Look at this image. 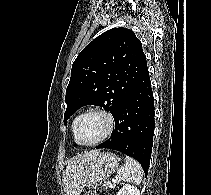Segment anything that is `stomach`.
Returning <instances> with one entry per match:
<instances>
[{
	"label": "stomach",
	"mask_w": 211,
	"mask_h": 195,
	"mask_svg": "<svg viewBox=\"0 0 211 195\" xmlns=\"http://www.w3.org/2000/svg\"><path fill=\"white\" fill-rule=\"evenodd\" d=\"M119 168V158L112 152H102L91 162L85 185H96L114 174ZM89 195V194H85Z\"/></svg>",
	"instance_id": "stomach-1"
}]
</instances>
